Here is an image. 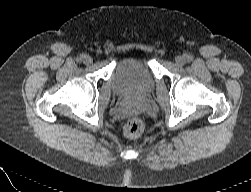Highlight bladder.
Listing matches in <instances>:
<instances>
[{"label":"bladder","instance_id":"bladder-1","mask_svg":"<svg viewBox=\"0 0 251 192\" xmlns=\"http://www.w3.org/2000/svg\"><path fill=\"white\" fill-rule=\"evenodd\" d=\"M155 83L150 61L144 56L122 59L111 78L112 89L119 95H147L154 90Z\"/></svg>","mask_w":251,"mask_h":192}]
</instances>
